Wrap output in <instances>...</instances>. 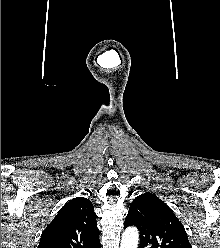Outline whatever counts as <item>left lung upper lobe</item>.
Returning <instances> with one entry per match:
<instances>
[{
	"mask_svg": "<svg viewBox=\"0 0 220 248\" xmlns=\"http://www.w3.org/2000/svg\"><path fill=\"white\" fill-rule=\"evenodd\" d=\"M132 225L140 231L141 248H192L184 226L173 211L149 192L131 203L124 226Z\"/></svg>",
	"mask_w": 220,
	"mask_h": 248,
	"instance_id": "left-lung-upper-lobe-1",
	"label": "left lung upper lobe"
}]
</instances>
